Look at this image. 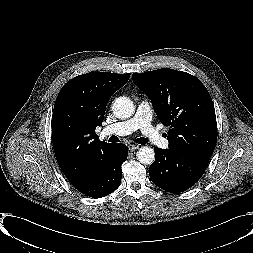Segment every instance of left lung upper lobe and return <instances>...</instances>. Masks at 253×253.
I'll return each instance as SVG.
<instances>
[{
	"label": "left lung upper lobe",
	"mask_w": 253,
	"mask_h": 253,
	"mask_svg": "<svg viewBox=\"0 0 253 253\" xmlns=\"http://www.w3.org/2000/svg\"><path fill=\"white\" fill-rule=\"evenodd\" d=\"M133 82L151 99L165 126H170L169 149L212 155L217 140L211 96L193 75L163 68L132 75Z\"/></svg>",
	"instance_id": "obj_1"
}]
</instances>
